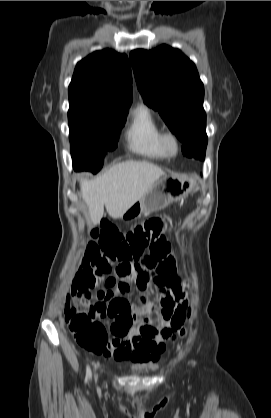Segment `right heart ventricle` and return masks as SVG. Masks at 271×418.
<instances>
[{
  "label": "right heart ventricle",
  "mask_w": 271,
  "mask_h": 418,
  "mask_svg": "<svg viewBox=\"0 0 271 418\" xmlns=\"http://www.w3.org/2000/svg\"><path fill=\"white\" fill-rule=\"evenodd\" d=\"M162 130L151 111L138 108L126 131L127 146L130 151L142 157L161 160L168 155L164 152L160 136Z\"/></svg>",
  "instance_id": "1"
}]
</instances>
